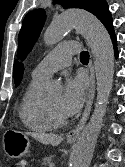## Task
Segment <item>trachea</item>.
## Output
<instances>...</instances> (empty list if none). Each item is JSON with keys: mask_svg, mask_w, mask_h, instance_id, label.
<instances>
[{"mask_svg": "<svg viewBox=\"0 0 125 167\" xmlns=\"http://www.w3.org/2000/svg\"><path fill=\"white\" fill-rule=\"evenodd\" d=\"M80 60L84 62L89 61V53L87 51H83L80 53Z\"/></svg>", "mask_w": 125, "mask_h": 167, "instance_id": "3493384b", "label": "trachea"}]
</instances>
